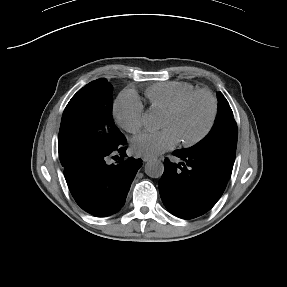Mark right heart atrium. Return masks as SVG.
<instances>
[{"mask_svg":"<svg viewBox=\"0 0 287 287\" xmlns=\"http://www.w3.org/2000/svg\"><path fill=\"white\" fill-rule=\"evenodd\" d=\"M114 116L120 126L130 133L139 132L144 126V108L134 91L122 93L115 101Z\"/></svg>","mask_w":287,"mask_h":287,"instance_id":"1","label":"right heart atrium"}]
</instances>
